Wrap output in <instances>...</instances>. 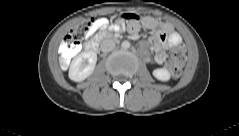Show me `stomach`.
Masks as SVG:
<instances>
[{"mask_svg": "<svg viewBox=\"0 0 239 136\" xmlns=\"http://www.w3.org/2000/svg\"><path fill=\"white\" fill-rule=\"evenodd\" d=\"M123 20L138 22L140 20V15L137 13H123Z\"/></svg>", "mask_w": 239, "mask_h": 136, "instance_id": "1", "label": "stomach"}]
</instances>
